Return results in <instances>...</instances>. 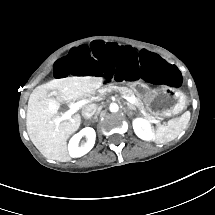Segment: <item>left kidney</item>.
Wrapping results in <instances>:
<instances>
[{
    "mask_svg": "<svg viewBox=\"0 0 215 215\" xmlns=\"http://www.w3.org/2000/svg\"><path fill=\"white\" fill-rule=\"evenodd\" d=\"M133 129L135 134L141 138L142 140H152L153 139V132L151 129L150 123L143 118H136L133 120Z\"/></svg>",
    "mask_w": 215,
    "mask_h": 215,
    "instance_id": "obj_1",
    "label": "left kidney"
}]
</instances>
